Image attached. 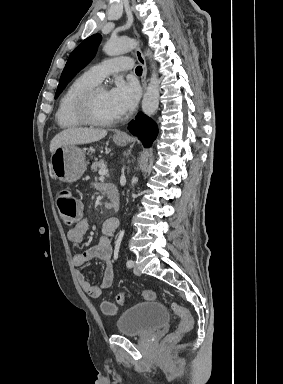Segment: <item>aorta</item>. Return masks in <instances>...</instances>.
<instances>
[{
    "instance_id": "1",
    "label": "aorta",
    "mask_w": 283,
    "mask_h": 384,
    "mask_svg": "<svg viewBox=\"0 0 283 384\" xmlns=\"http://www.w3.org/2000/svg\"><path fill=\"white\" fill-rule=\"evenodd\" d=\"M135 45V40L122 37L116 40L108 41L104 45L103 50L109 56H116L131 51ZM146 55H149L148 52ZM153 68L154 70L152 71L150 82L142 100V110L148 116L153 115L159 105V83L155 65H153Z\"/></svg>"
}]
</instances>
